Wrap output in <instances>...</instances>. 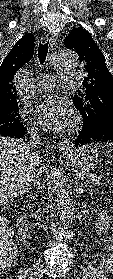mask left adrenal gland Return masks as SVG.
I'll return each instance as SVG.
<instances>
[{
  "label": "left adrenal gland",
  "mask_w": 113,
  "mask_h": 279,
  "mask_svg": "<svg viewBox=\"0 0 113 279\" xmlns=\"http://www.w3.org/2000/svg\"><path fill=\"white\" fill-rule=\"evenodd\" d=\"M75 189H76V192L79 194L83 193L84 189H85L84 184L78 183V180L76 178H75Z\"/></svg>",
  "instance_id": "a2214340"
}]
</instances>
